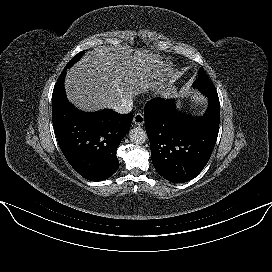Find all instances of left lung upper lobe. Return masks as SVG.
<instances>
[{
  "instance_id": "left-lung-upper-lobe-1",
  "label": "left lung upper lobe",
  "mask_w": 272,
  "mask_h": 272,
  "mask_svg": "<svg viewBox=\"0 0 272 272\" xmlns=\"http://www.w3.org/2000/svg\"><path fill=\"white\" fill-rule=\"evenodd\" d=\"M193 86L198 88L199 90L214 87L213 83L210 81L203 68L199 69V76L193 83Z\"/></svg>"
}]
</instances>
